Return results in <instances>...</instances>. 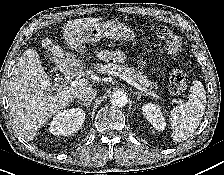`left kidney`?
I'll list each match as a JSON object with an SVG mask.
<instances>
[{
    "mask_svg": "<svg viewBox=\"0 0 224 175\" xmlns=\"http://www.w3.org/2000/svg\"><path fill=\"white\" fill-rule=\"evenodd\" d=\"M142 111L146 119L153 125L154 128L158 131L164 130L166 123L158 105L148 103L143 105Z\"/></svg>",
    "mask_w": 224,
    "mask_h": 175,
    "instance_id": "5707ae66",
    "label": "left kidney"
}]
</instances>
